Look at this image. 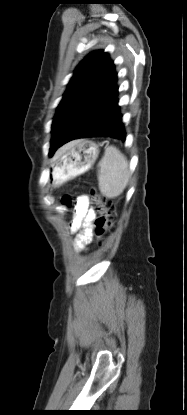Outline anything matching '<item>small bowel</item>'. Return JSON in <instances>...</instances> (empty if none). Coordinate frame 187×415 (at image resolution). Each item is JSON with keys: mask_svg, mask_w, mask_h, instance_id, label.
Instances as JSON below:
<instances>
[{"mask_svg": "<svg viewBox=\"0 0 187 415\" xmlns=\"http://www.w3.org/2000/svg\"><path fill=\"white\" fill-rule=\"evenodd\" d=\"M95 218V211L90 207V201L87 196L78 199L74 210V218L70 224V231L74 232L81 228V232L74 241V247L78 251H85L90 243V227Z\"/></svg>", "mask_w": 187, "mask_h": 415, "instance_id": "obj_1", "label": "small bowel"}]
</instances>
